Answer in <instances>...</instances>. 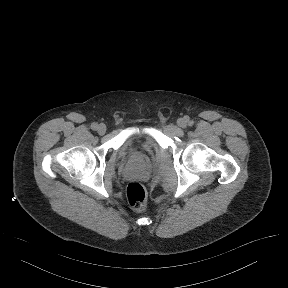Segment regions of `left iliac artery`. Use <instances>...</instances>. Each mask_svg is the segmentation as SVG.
Here are the masks:
<instances>
[{
  "label": "left iliac artery",
  "mask_w": 288,
  "mask_h": 288,
  "mask_svg": "<svg viewBox=\"0 0 288 288\" xmlns=\"http://www.w3.org/2000/svg\"><path fill=\"white\" fill-rule=\"evenodd\" d=\"M188 123H189V125H190V126H192V125H193V121H189Z\"/></svg>",
  "instance_id": "44dca946"
}]
</instances>
